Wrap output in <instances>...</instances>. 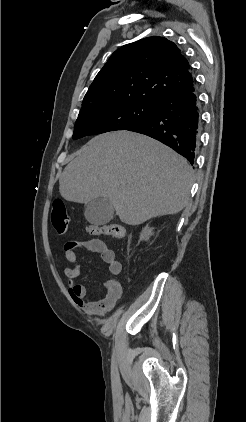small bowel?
Listing matches in <instances>:
<instances>
[{"label":"small bowel","mask_w":246,"mask_h":422,"mask_svg":"<svg viewBox=\"0 0 246 422\" xmlns=\"http://www.w3.org/2000/svg\"><path fill=\"white\" fill-rule=\"evenodd\" d=\"M77 247H84L88 251L100 255L102 261L108 265L109 272L114 276L121 273L122 264L117 260L115 252L100 239L82 242L69 241L64 245L65 259L72 265L71 267H65L63 270V274L69 283L68 292L71 299L91 314H104L111 310L120 299L123 292L122 284L117 279H109L106 282L105 293L101 298H88L85 286L75 281L80 275V264L75 252Z\"/></svg>","instance_id":"c3829d8e"}]
</instances>
